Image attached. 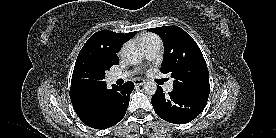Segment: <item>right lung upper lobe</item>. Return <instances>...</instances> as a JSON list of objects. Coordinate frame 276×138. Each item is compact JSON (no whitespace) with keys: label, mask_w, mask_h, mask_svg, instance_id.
Instances as JSON below:
<instances>
[{"label":"right lung upper lobe","mask_w":276,"mask_h":138,"mask_svg":"<svg viewBox=\"0 0 276 138\" xmlns=\"http://www.w3.org/2000/svg\"><path fill=\"white\" fill-rule=\"evenodd\" d=\"M135 35V32L120 34L112 31H99L93 34L78 54L70 88V99L74 110L81 118L90 117L92 101L99 97L106 82L88 86L79 81L78 71L84 67L103 63H118L117 52L122 45Z\"/></svg>","instance_id":"right-lung-upper-lobe-1"}]
</instances>
